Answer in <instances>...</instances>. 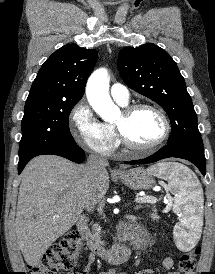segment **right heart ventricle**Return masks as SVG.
<instances>
[{"label": "right heart ventricle", "instance_id": "e07e8e85", "mask_svg": "<svg viewBox=\"0 0 215 274\" xmlns=\"http://www.w3.org/2000/svg\"><path fill=\"white\" fill-rule=\"evenodd\" d=\"M120 104V103H119ZM120 105H122V106H125L126 104H120ZM105 125V127L112 133V134H114L115 135V130H114V126L113 125H111V124H104ZM116 136V135H115Z\"/></svg>", "mask_w": 215, "mask_h": 274}]
</instances>
